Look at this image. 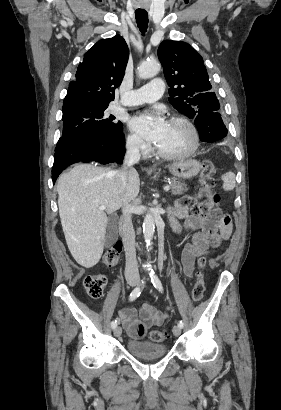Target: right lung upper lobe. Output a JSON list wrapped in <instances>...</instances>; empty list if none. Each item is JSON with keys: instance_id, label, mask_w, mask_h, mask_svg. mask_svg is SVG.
Here are the masks:
<instances>
[{"instance_id": "cb5924a9", "label": "right lung upper lobe", "mask_w": 281, "mask_h": 410, "mask_svg": "<svg viewBox=\"0 0 281 410\" xmlns=\"http://www.w3.org/2000/svg\"><path fill=\"white\" fill-rule=\"evenodd\" d=\"M128 46L120 35L98 41L85 55L70 82L63 106L87 103L109 105L128 62Z\"/></svg>"}]
</instances>
